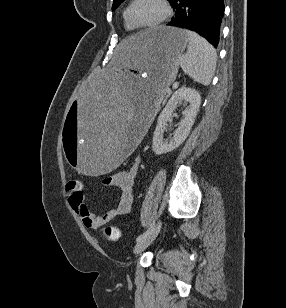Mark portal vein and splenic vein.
Segmentation results:
<instances>
[{"mask_svg": "<svg viewBox=\"0 0 286 308\" xmlns=\"http://www.w3.org/2000/svg\"><path fill=\"white\" fill-rule=\"evenodd\" d=\"M172 87H173V88L178 87V82H174Z\"/></svg>", "mask_w": 286, "mask_h": 308, "instance_id": "obj_1", "label": "portal vein and splenic vein"}]
</instances>
